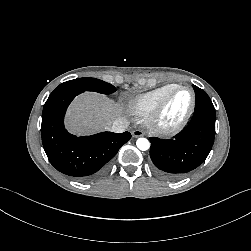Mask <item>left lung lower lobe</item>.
Listing matches in <instances>:
<instances>
[{"label":"left lung lower lobe","mask_w":251,"mask_h":251,"mask_svg":"<svg viewBox=\"0 0 251 251\" xmlns=\"http://www.w3.org/2000/svg\"><path fill=\"white\" fill-rule=\"evenodd\" d=\"M215 137V113L196 110L185 130L165 140L151 138L150 157L157 174L179 179L207 158Z\"/></svg>","instance_id":"obj_1"}]
</instances>
